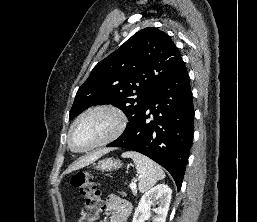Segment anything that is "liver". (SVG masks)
I'll use <instances>...</instances> for the list:
<instances>
[{"instance_id":"obj_1","label":"liver","mask_w":257,"mask_h":222,"mask_svg":"<svg viewBox=\"0 0 257 222\" xmlns=\"http://www.w3.org/2000/svg\"><path fill=\"white\" fill-rule=\"evenodd\" d=\"M110 150L109 149H102L100 151H97L93 154H90L82 159H80L78 162L72 164L67 170L66 173H70L74 170L83 168L87 165H89L90 163L96 161L97 159H99L102 155L108 153Z\"/></svg>"}]
</instances>
